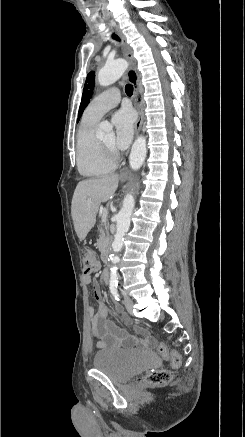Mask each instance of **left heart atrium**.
<instances>
[{
    "instance_id": "left-heart-atrium-1",
    "label": "left heart atrium",
    "mask_w": 245,
    "mask_h": 437,
    "mask_svg": "<svg viewBox=\"0 0 245 437\" xmlns=\"http://www.w3.org/2000/svg\"><path fill=\"white\" fill-rule=\"evenodd\" d=\"M115 127L114 148L125 150L133 137L135 115L130 108H122L112 117Z\"/></svg>"
}]
</instances>
